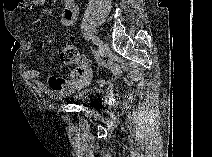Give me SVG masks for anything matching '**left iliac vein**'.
I'll return each instance as SVG.
<instances>
[{"label": "left iliac vein", "mask_w": 212, "mask_h": 157, "mask_svg": "<svg viewBox=\"0 0 212 157\" xmlns=\"http://www.w3.org/2000/svg\"><path fill=\"white\" fill-rule=\"evenodd\" d=\"M99 44H100V57L104 58L108 55L109 52L108 43L105 42L104 40H99Z\"/></svg>", "instance_id": "1"}]
</instances>
